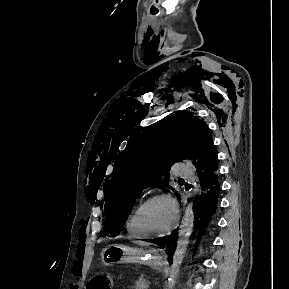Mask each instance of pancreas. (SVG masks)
Returning a JSON list of instances; mask_svg holds the SVG:
<instances>
[{
	"mask_svg": "<svg viewBox=\"0 0 289 289\" xmlns=\"http://www.w3.org/2000/svg\"><path fill=\"white\" fill-rule=\"evenodd\" d=\"M148 283L149 281L147 280V278H144V276L142 275L136 282L135 289H145L144 285Z\"/></svg>",
	"mask_w": 289,
	"mask_h": 289,
	"instance_id": "cf45deb5",
	"label": "pancreas"
}]
</instances>
